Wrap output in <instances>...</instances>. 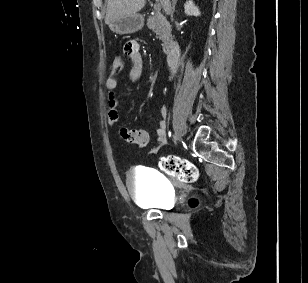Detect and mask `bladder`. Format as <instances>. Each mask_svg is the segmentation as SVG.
<instances>
[{"instance_id": "obj_1", "label": "bladder", "mask_w": 308, "mask_h": 283, "mask_svg": "<svg viewBox=\"0 0 308 283\" xmlns=\"http://www.w3.org/2000/svg\"><path fill=\"white\" fill-rule=\"evenodd\" d=\"M126 187L133 200L146 208H164L170 187L161 174L152 168L137 167L128 172Z\"/></svg>"}]
</instances>
